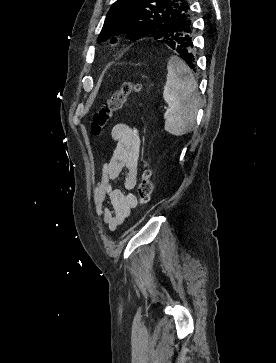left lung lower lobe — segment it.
Instances as JSON below:
<instances>
[{
  "label": "left lung lower lobe",
  "mask_w": 276,
  "mask_h": 363,
  "mask_svg": "<svg viewBox=\"0 0 276 363\" xmlns=\"http://www.w3.org/2000/svg\"><path fill=\"white\" fill-rule=\"evenodd\" d=\"M193 31L190 13L187 12L175 25L174 36H170L168 44L195 70V53L193 46Z\"/></svg>",
  "instance_id": "0a47b994"
}]
</instances>
